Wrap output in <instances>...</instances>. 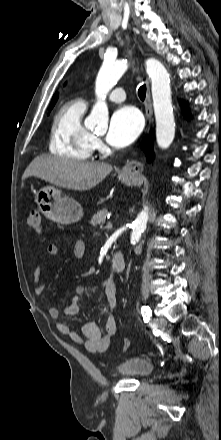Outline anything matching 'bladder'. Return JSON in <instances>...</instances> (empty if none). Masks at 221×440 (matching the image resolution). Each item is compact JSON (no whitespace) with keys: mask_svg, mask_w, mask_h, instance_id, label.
<instances>
[{"mask_svg":"<svg viewBox=\"0 0 221 440\" xmlns=\"http://www.w3.org/2000/svg\"><path fill=\"white\" fill-rule=\"evenodd\" d=\"M153 371L152 363L145 357L132 356L122 360L116 367L119 375L133 379H143Z\"/></svg>","mask_w":221,"mask_h":440,"instance_id":"1","label":"bladder"}]
</instances>
